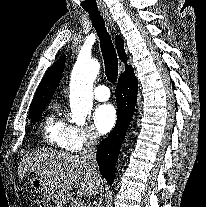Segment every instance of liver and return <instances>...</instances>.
<instances>
[{"instance_id": "liver-1", "label": "liver", "mask_w": 206, "mask_h": 207, "mask_svg": "<svg viewBox=\"0 0 206 207\" xmlns=\"http://www.w3.org/2000/svg\"><path fill=\"white\" fill-rule=\"evenodd\" d=\"M27 170L47 182L49 197L58 207L69 202L73 188L78 187L79 197H90L102 192L104 186L101 176L95 177L87 161L66 152L37 150L26 154L19 169L21 179Z\"/></svg>"}]
</instances>
